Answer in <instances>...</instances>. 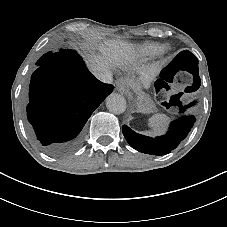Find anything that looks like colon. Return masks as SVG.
<instances>
[{
	"instance_id": "5ec220e1",
	"label": "colon",
	"mask_w": 227,
	"mask_h": 227,
	"mask_svg": "<svg viewBox=\"0 0 227 227\" xmlns=\"http://www.w3.org/2000/svg\"><path fill=\"white\" fill-rule=\"evenodd\" d=\"M197 78V59L192 53L184 51L162 70L156 90L160 97L174 89L191 92L197 87ZM180 94L171 95V99H178Z\"/></svg>"
}]
</instances>
